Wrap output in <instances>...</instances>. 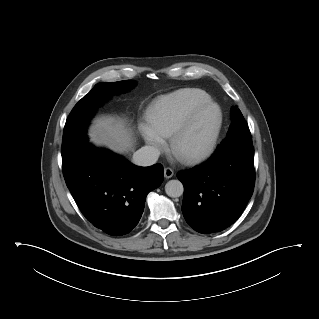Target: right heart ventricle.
I'll return each mask as SVG.
<instances>
[{
  "label": "right heart ventricle",
  "instance_id": "1",
  "mask_svg": "<svg viewBox=\"0 0 319 319\" xmlns=\"http://www.w3.org/2000/svg\"><path fill=\"white\" fill-rule=\"evenodd\" d=\"M211 100L197 88H184L159 96L147 111L149 125L162 137H171L199 105Z\"/></svg>",
  "mask_w": 319,
  "mask_h": 319
}]
</instances>
